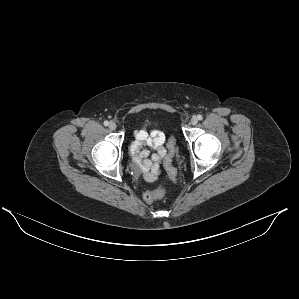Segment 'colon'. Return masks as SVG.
<instances>
[{
  "mask_svg": "<svg viewBox=\"0 0 299 299\" xmlns=\"http://www.w3.org/2000/svg\"><path fill=\"white\" fill-rule=\"evenodd\" d=\"M174 140L171 139L169 142V150H170V155L173 154L174 151ZM165 195V189L161 186L152 189V190H148L144 193V199L146 202L152 204L157 202L158 200H160L163 196Z\"/></svg>",
  "mask_w": 299,
  "mask_h": 299,
  "instance_id": "obj_1",
  "label": "colon"
}]
</instances>
